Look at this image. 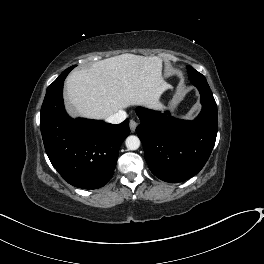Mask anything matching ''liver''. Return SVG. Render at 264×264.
Returning <instances> with one entry per match:
<instances>
[{
    "instance_id": "6515ba94",
    "label": "liver",
    "mask_w": 264,
    "mask_h": 264,
    "mask_svg": "<svg viewBox=\"0 0 264 264\" xmlns=\"http://www.w3.org/2000/svg\"><path fill=\"white\" fill-rule=\"evenodd\" d=\"M169 87L161 59L129 53L74 70L65 81L68 109L90 119H106L129 106L157 109Z\"/></svg>"
}]
</instances>
